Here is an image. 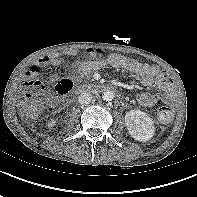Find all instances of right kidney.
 Segmentation results:
<instances>
[{"label":"right kidney","mask_w":197,"mask_h":197,"mask_svg":"<svg viewBox=\"0 0 197 197\" xmlns=\"http://www.w3.org/2000/svg\"><path fill=\"white\" fill-rule=\"evenodd\" d=\"M56 124V120L51 119V121L48 122V126H54Z\"/></svg>","instance_id":"ca27d5eb"}]
</instances>
